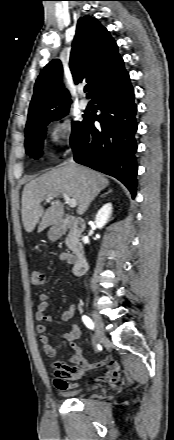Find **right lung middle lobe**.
<instances>
[{
  "instance_id": "1",
  "label": "right lung middle lobe",
  "mask_w": 174,
  "mask_h": 440,
  "mask_svg": "<svg viewBox=\"0 0 174 440\" xmlns=\"http://www.w3.org/2000/svg\"><path fill=\"white\" fill-rule=\"evenodd\" d=\"M68 112V110L58 114L57 116L48 119L46 121L40 122L34 126H32L29 129L25 130V148L26 153L30 155L31 157H35L36 159L38 156L41 155L42 145H43V139L46 134L45 127L49 124L50 121L54 119H60L63 115H65ZM81 128V122H72V134H71V141L75 139L77 136L79 130Z\"/></svg>"
}]
</instances>
